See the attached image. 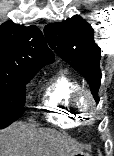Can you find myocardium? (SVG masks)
I'll return each mask as SVG.
<instances>
[{
  "mask_svg": "<svg viewBox=\"0 0 114 156\" xmlns=\"http://www.w3.org/2000/svg\"><path fill=\"white\" fill-rule=\"evenodd\" d=\"M86 97L89 100V108L86 109L81 105V99ZM71 106L73 110L81 117L84 123H91L96 115L97 101L94 94L85 87L78 88L71 97Z\"/></svg>",
  "mask_w": 114,
  "mask_h": 156,
  "instance_id": "1",
  "label": "myocardium"
}]
</instances>
